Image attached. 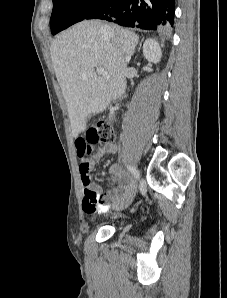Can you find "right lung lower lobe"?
Returning <instances> with one entry per match:
<instances>
[{"instance_id": "98d812e1", "label": "right lung lower lobe", "mask_w": 227, "mask_h": 298, "mask_svg": "<svg viewBox=\"0 0 227 298\" xmlns=\"http://www.w3.org/2000/svg\"><path fill=\"white\" fill-rule=\"evenodd\" d=\"M174 0H106L85 19H106L122 26L147 30L173 26Z\"/></svg>"}]
</instances>
